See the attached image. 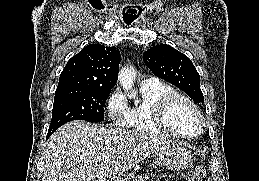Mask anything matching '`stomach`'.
Here are the masks:
<instances>
[{"label": "stomach", "instance_id": "0dacf381", "mask_svg": "<svg viewBox=\"0 0 259 181\" xmlns=\"http://www.w3.org/2000/svg\"><path fill=\"white\" fill-rule=\"evenodd\" d=\"M192 157L189 150L177 143H171L169 147L156 153V162L174 171L187 168L192 163Z\"/></svg>", "mask_w": 259, "mask_h": 181}]
</instances>
